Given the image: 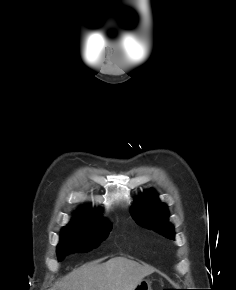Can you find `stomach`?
<instances>
[{
  "mask_svg": "<svg viewBox=\"0 0 236 290\" xmlns=\"http://www.w3.org/2000/svg\"><path fill=\"white\" fill-rule=\"evenodd\" d=\"M151 281L150 280H142L134 290H150Z\"/></svg>",
  "mask_w": 236,
  "mask_h": 290,
  "instance_id": "0dacf381",
  "label": "stomach"
}]
</instances>
